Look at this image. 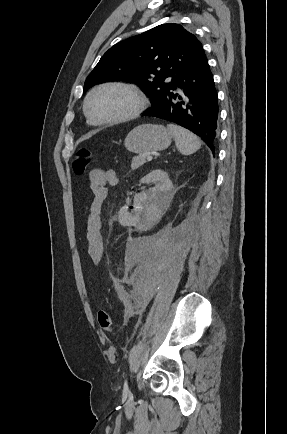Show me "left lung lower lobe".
<instances>
[{"label": "left lung lower lobe", "mask_w": 287, "mask_h": 434, "mask_svg": "<svg viewBox=\"0 0 287 434\" xmlns=\"http://www.w3.org/2000/svg\"><path fill=\"white\" fill-rule=\"evenodd\" d=\"M177 86L182 95L172 91ZM218 113L213 75L203 54L176 75L168 91L143 116L162 118L189 129L214 152L218 137Z\"/></svg>", "instance_id": "0a47b994"}]
</instances>
